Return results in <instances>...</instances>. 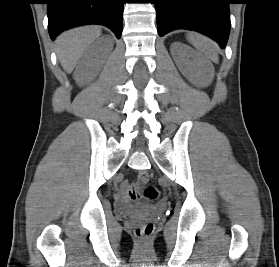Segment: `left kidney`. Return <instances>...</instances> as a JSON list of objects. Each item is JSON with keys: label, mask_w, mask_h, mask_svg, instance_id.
<instances>
[{"label": "left kidney", "mask_w": 279, "mask_h": 267, "mask_svg": "<svg viewBox=\"0 0 279 267\" xmlns=\"http://www.w3.org/2000/svg\"><path fill=\"white\" fill-rule=\"evenodd\" d=\"M173 46L179 47L181 45L179 43H174ZM175 63L178 66L181 73L193 83H199L200 79L204 77V74L200 68L195 77L192 75V70L190 69L188 62L185 56L183 55H179L177 58H175Z\"/></svg>", "instance_id": "1"}]
</instances>
